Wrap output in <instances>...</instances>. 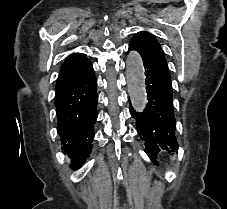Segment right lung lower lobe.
<instances>
[{
  "mask_svg": "<svg viewBox=\"0 0 227 209\" xmlns=\"http://www.w3.org/2000/svg\"><path fill=\"white\" fill-rule=\"evenodd\" d=\"M67 83L55 93L58 134L64 153L77 169L89 156L97 119V80L91 62L85 65H62L56 84Z\"/></svg>",
  "mask_w": 227,
  "mask_h": 209,
  "instance_id": "1",
  "label": "right lung lower lobe"
}]
</instances>
